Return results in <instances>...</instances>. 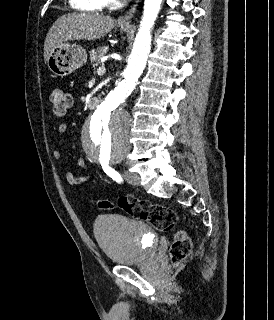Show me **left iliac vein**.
Returning a JSON list of instances; mask_svg holds the SVG:
<instances>
[{
  "mask_svg": "<svg viewBox=\"0 0 274 320\" xmlns=\"http://www.w3.org/2000/svg\"><path fill=\"white\" fill-rule=\"evenodd\" d=\"M123 177L131 185L138 186L140 184V177L136 173L125 170Z\"/></svg>",
  "mask_w": 274,
  "mask_h": 320,
  "instance_id": "left-iliac-vein-1",
  "label": "left iliac vein"
}]
</instances>
